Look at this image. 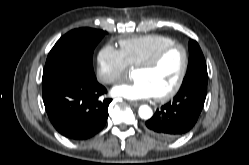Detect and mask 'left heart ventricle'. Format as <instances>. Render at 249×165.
I'll list each match as a JSON object with an SVG mask.
<instances>
[{"label": "left heart ventricle", "instance_id": "left-heart-ventricle-1", "mask_svg": "<svg viewBox=\"0 0 249 165\" xmlns=\"http://www.w3.org/2000/svg\"><path fill=\"white\" fill-rule=\"evenodd\" d=\"M183 65V55L179 49L169 52L162 62L154 69H135L133 77L146 81L155 95L170 90L180 74Z\"/></svg>", "mask_w": 249, "mask_h": 165}]
</instances>
